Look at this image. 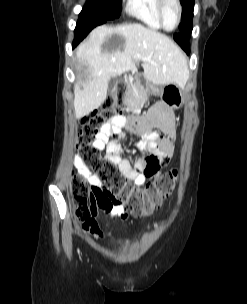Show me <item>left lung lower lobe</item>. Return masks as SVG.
Returning a JSON list of instances; mask_svg holds the SVG:
<instances>
[{
    "label": "left lung lower lobe",
    "mask_w": 247,
    "mask_h": 304,
    "mask_svg": "<svg viewBox=\"0 0 247 304\" xmlns=\"http://www.w3.org/2000/svg\"><path fill=\"white\" fill-rule=\"evenodd\" d=\"M192 32V29L181 31V33L174 34V40L182 47V49L189 54V45H188V39L190 37V34Z\"/></svg>",
    "instance_id": "left-lung-lower-lobe-1"
}]
</instances>
